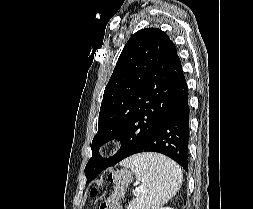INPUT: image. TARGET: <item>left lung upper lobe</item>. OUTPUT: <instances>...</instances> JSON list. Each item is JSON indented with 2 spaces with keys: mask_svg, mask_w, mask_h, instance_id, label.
<instances>
[{
  "mask_svg": "<svg viewBox=\"0 0 253 209\" xmlns=\"http://www.w3.org/2000/svg\"><path fill=\"white\" fill-rule=\"evenodd\" d=\"M182 75L176 47L165 32L147 28L130 37L104 91L93 155L85 167L87 182L141 148L170 108ZM112 139L121 141L119 151L101 158L99 146Z\"/></svg>",
  "mask_w": 253,
  "mask_h": 209,
  "instance_id": "left-lung-upper-lobe-1",
  "label": "left lung upper lobe"
}]
</instances>
